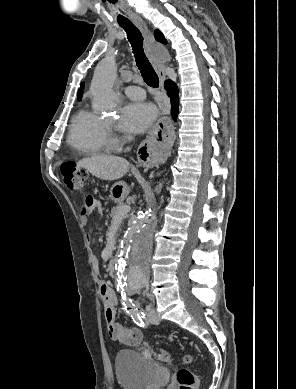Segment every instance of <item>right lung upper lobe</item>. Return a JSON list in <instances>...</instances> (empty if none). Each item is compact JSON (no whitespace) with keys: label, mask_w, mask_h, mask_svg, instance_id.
Returning <instances> with one entry per match:
<instances>
[{"label":"right lung upper lobe","mask_w":296,"mask_h":389,"mask_svg":"<svg viewBox=\"0 0 296 389\" xmlns=\"http://www.w3.org/2000/svg\"><path fill=\"white\" fill-rule=\"evenodd\" d=\"M154 36L158 42L166 44L167 41L164 38L163 34L159 30H155ZM82 88H83V86H81V89H79V92H78L79 99H81V97H82Z\"/></svg>","instance_id":"right-lung-upper-lobe-1"}]
</instances>
